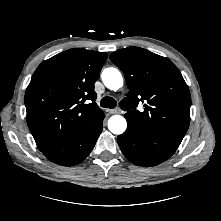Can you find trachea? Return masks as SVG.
I'll return each instance as SVG.
<instances>
[{"label":"trachea","instance_id":"obj_1","mask_svg":"<svg viewBox=\"0 0 221 221\" xmlns=\"http://www.w3.org/2000/svg\"><path fill=\"white\" fill-rule=\"evenodd\" d=\"M101 107L113 109L116 107V100L112 97L105 96L100 102Z\"/></svg>","mask_w":221,"mask_h":221}]
</instances>
